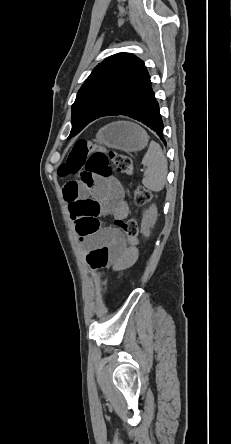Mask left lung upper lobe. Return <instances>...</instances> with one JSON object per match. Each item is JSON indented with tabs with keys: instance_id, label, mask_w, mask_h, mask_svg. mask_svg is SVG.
Wrapping results in <instances>:
<instances>
[{
	"instance_id": "left-lung-upper-lobe-1",
	"label": "left lung upper lobe",
	"mask_w": 231,
	"mask_h": 444,
	"mask_svg": "<svg viewBox=\"0 0 231 444\" xmlns=\"http://www.w3.org/2000/svg\"><path fill=\"white\" fill-rule=\"evenodd\" d=\"M148 77L144 62L130 53H118L99 63L72 105L73 129L68 138L101 116L115 115Z\"/></svg>"
}]
</instances>
